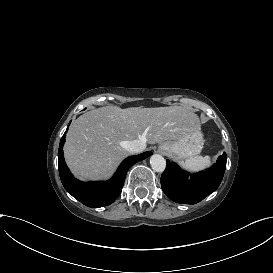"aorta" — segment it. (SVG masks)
Masks as SVG:
<instances>
[{"instance_id": "762f6f07", "label": "aorta", "mask_w": 273, "mask_h": 273, "mask_svg": "<svg viewBox=\"0 0 273 273\" xmlns=\"http://www.w3.org/2000/svg\"><path fill=\"white\" fill-rule=\"evenodd\" d=\"M150 165L156 172H163L166 168V160L159 154H154L150 158Z\"/></svg>"}]
</instances>
